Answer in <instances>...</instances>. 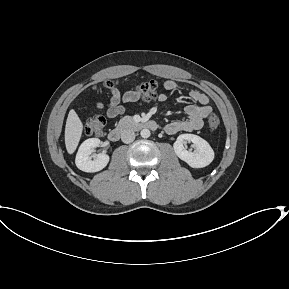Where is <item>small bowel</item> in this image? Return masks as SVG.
Segmentation results:
<instances>
[{"label":"small bowel","instance_id":"small-bowel-1","mask_svg":"<svg viewBox=\"0 0 289 289\" xmlns=\"http://www.w3.org/2000/svg\"><path fill=\"white\" fill-rule=\"evenodd\" d=\"M164 88L167 91H173L179 88V84L173 80H166ZM190 99L194 104L185 107L186 118L168 123L165 130L168 134H177L179 132H192L199 130L203 126L204 119L212 112V107L209 105L208 96L198 90H192L189 93ZM139 93L137 91H128L121 95L117 90L111 92V97L108 102H99L98 108L106 109L108 118H115L118 115L125 113L124 104H136L139 101ZM167 95L162 93L159 95V101L165 102Z\"/></svg>","mask_w":289,"mask_h":289}]
</instances>
